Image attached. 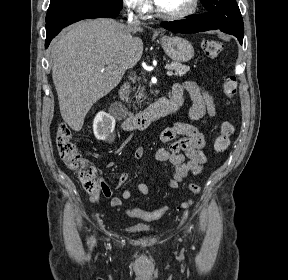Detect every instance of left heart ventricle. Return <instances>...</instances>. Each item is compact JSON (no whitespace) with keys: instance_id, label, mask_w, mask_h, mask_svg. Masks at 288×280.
I'll list each match as a JSON object with an SVG mask.
<instances>
[{"instance_id":"b2bd125f","label":"left heart ventricle","mask_w":288,"mask_h":280,"mask_svg":"<svg viewBox=\"0 0 288 280\" xmlns=\"http://www.w3.org/2000/svg\"><path fill=\"white\" fill-rule=\"evenodd\" d=\"M192 0H160L158 7L167 14H176L186 10Z\"/></svg>"}]
</instances>
